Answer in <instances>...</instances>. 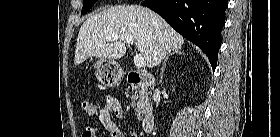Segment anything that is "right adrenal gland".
<instances>
[{"instance_id": "2a0ac1e0", "label": "right adrenal gland", "mask_w": 280, "mask_h": 137, "mask_svg": "<svg viewBox=\"0 0 280 137\" xmlns=\"http://www.w3.org/2000/svg\"><path fill=\"white\" fill-rule=\"evenodd\" d=\"M172 54H179V55H184V53L181 51V48H177L175 50H173L171 53H169L168 56L172 55ZM168 56L164 59L163 61V65H162V69H161V78H160V82H162V78H163V74H164V66L166 61L168 60Z\"/></svg>"}]
</instances>
